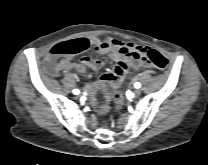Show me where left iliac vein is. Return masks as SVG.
I'll return each instance as SVG.
<instances>
[{"instance_id": "left-iliac-vein-1", "label": "left iliac vein", "mask_w": 208, "mask_h": 165, "mask_svg": "<svg viewBox=\"0 0 208 165\" xmlns=\"http://www.w3.org/2000/svg\"><path fill=\"white\" fill-rule=\"evenodd\" d=\"M140 94H141V90L140 89H136L134 91V96L138 97V96H140Z\"/></svg>"}]
</instances>
